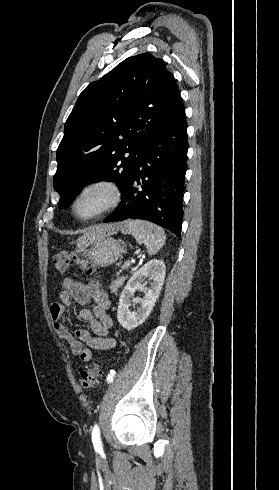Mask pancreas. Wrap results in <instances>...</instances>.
<instances>
[{"label": "pancreas", "mask_w": 279, "mask_h": 490, "mask_svg": "<svg viewBox=\"0 0 279 490\" xmlns=\"http://www.w3.org/2000/svg\"><path fill=\"white\" fill-rule=\"evenodd\" d=\"M124 280L125 278H118V280H114V282H112V286H110L111 290H113V292H117V288L123 286Z\"/></svg>", "instance_id": "pancreas-1"}]
</instances>
